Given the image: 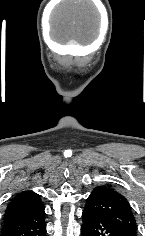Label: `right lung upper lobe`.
Wrapping results in <instances>:
<instances>
[{"label": "right lung upper lobe", "instance_id": "obj_1", "mask_svg": "<svg viewBox=\"0 0 145 236\" xmlns=\"http://www.w3.org/2000/svg\"><path fill=\"white\" fill-rule=\"evenodd\" d=\"M42 207L43 204L38 194L32 191L21 192L8 205L4 214V220L20 214L36 211Z\"/></svg>", "mask_w": 145, "mask_h": 236}]
</instances>
